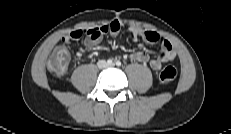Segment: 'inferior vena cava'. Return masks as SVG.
I'll use <instances>...</instances> for the list:
<instances>
[{
    "label": "inferior vena cava",
    "mask_w": 231,
    "mask_h": 134,
    "mask_svg": "<svg viewBox=\"0 0 231 134\" xmlns=\"http://www.w3.org/2000/svg\"><path fill=\"white\" fill-rule=\"evenodd\" d=\"M106 66H107L106 63H103V65H101V64L99 63V67H100V68L106 67Z\"/></svg>",
    "instance_id": "1"
}]
</instances>
